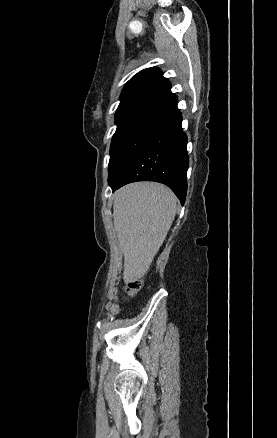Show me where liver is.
Listing matches in <instances>:
<instances>
[{
	"instance_id": "1",
	"label": "liver",
	"mask_w": 277,
	"mask_h": 438,
	"mask_svg": "<svg viewBox=\"0 0 277 438\" xmlns=\"http://www.w3.org/2000/svg\"><path fill=\"white\" fill-rule=\"evenodd\" d=\"M177 198L167 186L137 182L114 196V228L124 254L123 280L137 282L149 270L174 222Z\"/></svg>"
}]
</instances>
